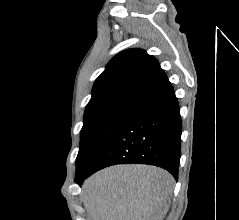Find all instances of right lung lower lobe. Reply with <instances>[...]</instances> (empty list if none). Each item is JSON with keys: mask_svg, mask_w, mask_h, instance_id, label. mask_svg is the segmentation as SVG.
<instances>
[{"mask_svg": "<svg viewBox=\"0 0 239 220\" xmlns=\"http://www.w3.org/2000/svg\"><path fill=\"white\" fill-rule=\"evenodd\" d=\"M181 132L179 104L167 79L132 104L91 169L75 182L81 186L94 172L123 163L156 165L177 180Z\"/></svg>", "mask_w": 239, "mask_h": 220, "instance_id": "right-lung-lower-lobe-1", "label": "right lung lower lobe"}]
</instances>
